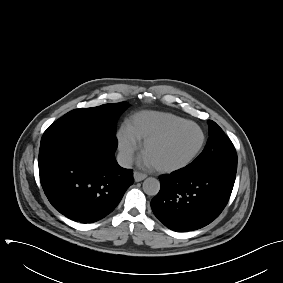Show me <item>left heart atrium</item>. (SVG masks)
I'll return each instance as SVG.
<instances>
[{
  "label": "left heart atrium",
  "mask_w": 283,
  "mask_h": 283,
  "mask_svg": "<svg viewBox=\"0 0 283 283\" xmlns=\"http://www.w3.org/2000/svg\"><path fill=\"white\" fill-rule=\"evenodd\" d=\"M143 163L145 164V165H149V166H151L152 164L149 162V160L144 156L143 157Z\"/></svg>",
  "instance_id": "left-heart-atrium-1"
}]
</instances>
